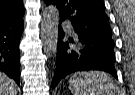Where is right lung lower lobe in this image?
I'll return each mask as SVG.
<instances>
[{
    "label": "right lung lower lobe",
    "instance_id": "98d812e1",
    "mask_svg": "<svg viewBox=\"0 0 135 95\" xmlns=\"http://www.w3.org/2000/svg\"><path fill=\"white\" fill-rule=\"evenodd\" d=\"M23 32V16L16 20H0V71L20 85L19 42Z\"/></svg>",
    "mask_w": 135,
    "mask_h": 95
}]
</instances>
